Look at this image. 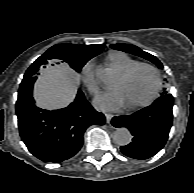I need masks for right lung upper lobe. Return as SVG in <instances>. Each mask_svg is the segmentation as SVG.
<instances>
[{
  "instance_id": "right-lung-upper-lobe-1",
  "label": "right lung upper lobe",
  "mask_w": 194,
  "mask_h": 193,
  "mask_svg": "<svg viewBox=\"0 0 194 193\" xmlns=\"http://www.w3.org/2000/svg\"><path fill=\"white\" fill-rule=\"evenodd\" d=\"M104 47V45H75L69 43L54 45L28 68L25 79L31 85L35 82L36 74H39L38 70L41 66L45 68L46 64L54 66L60 62L67 63L71 56H80L89 60L99 54Z\"/></svg>"
}]
</instances>
